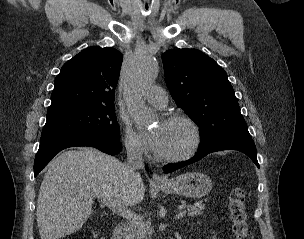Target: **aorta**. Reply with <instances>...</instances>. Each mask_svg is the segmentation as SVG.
Wrapping results in <instances>:
<instances>
[{
	"label": "aorta",
	"instance_id": "obj_1",
	"mask_svg": "<svg viewBox=\"0 0 304 239\" xmlns=\"http://www.w3.org/2000/svg\"><path fill=\"white\" fill-rule=\"evenodd\" d=\"M157 72L156 60L151 56L142 55L135 58L128 73L124 98L127 107L139 122H148L151 119V113L144 104L143 93L155 81Z\"/></svg>",
	"mask_w": 304,
	"mask_h": 239
}]
</instances>
